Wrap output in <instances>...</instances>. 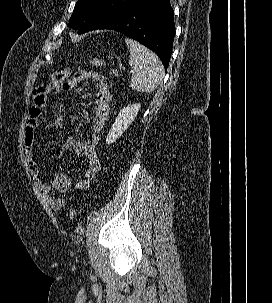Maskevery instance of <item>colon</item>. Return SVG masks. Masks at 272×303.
<instances>
[{"label": "colon", "instance_id": "colon-1", "mask_svg": "<svg viewBox=\"0 0 272 303\" xmlns=\"http://www.w3.org/2000/svg\"><path fill=\"white\" fill-rule=\"evenodd\" d=\"M91 64L94 67L100 68V67H103L104 61L100 58H93L91 60ZM69 74H70V69L69 68L57 71L54 74H52L51 81L48 85L50 93H53V94L58 93L61 90V86L64 83V81L67 79ZM110 74L113 77H118L119 76V72L115 68H112L110 70ZM68 216L70 217V219H74L76 217V210L74 208H70L69 212H68Z\"/></svg>", "mask_w": 272, "mask_h": 303}]
</instances>
